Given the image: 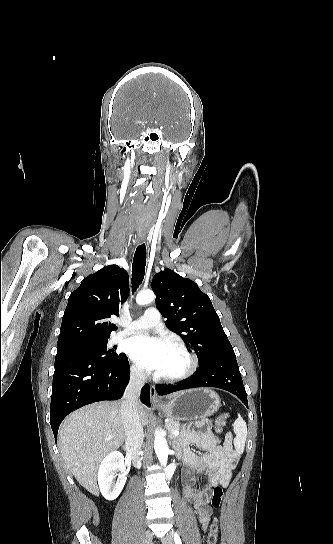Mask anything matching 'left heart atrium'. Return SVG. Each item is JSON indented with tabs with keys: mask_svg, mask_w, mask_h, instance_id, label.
<instances>
[{
	"mask_svg": "<svg viewBox=\"0 0 333 544\" xmlns=\"http://www.w3.org/2000/svg\"><path fill=\"white\" fill-rule=\"evenodd\" d=\"M170 344L161 337L138 334L126 341L127 354L141 367L159 373L162 369Z\"/></svg>",
	"mask_w": 333,
	"mask_h": 544,
	"instance_id": "obj_1",
	"label": "left heart atrium"
}]
</instances>
